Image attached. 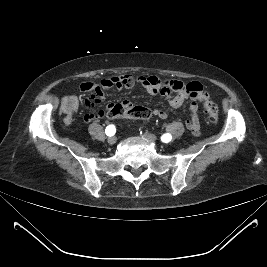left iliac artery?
Listing matches in <instances>:
<instances>
[{"label":"left iliac artery","instance_id":"left-iliac-artery-1","mask_svg":"<svg viewBox=\"0 0 267 267\" xmlns=\"http://www.w3.org/2000/svg\"><path fill=\"white\" fill-rule=\"evenodd\" d=\"M171 139H172V137H171L170 134H164V135H162V137H161V140H162L163 142H165V143H168L169 141H171Z\"/></svg>","mask_w":267,"mask_h":267}]
</instances>
